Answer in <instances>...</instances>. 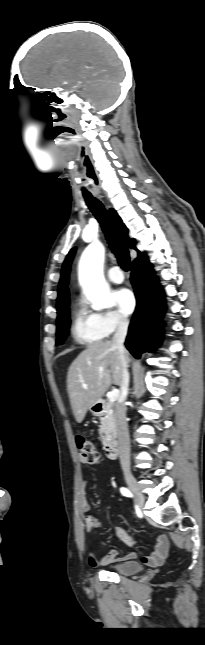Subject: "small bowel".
Masks as SVG:
<instances>
[{"label":"small bowel","instance_id":"1","mask_svg":"<svg viewBox=\"0 0 205 645\" xmlns=\"http://www.w3.org/2000/svg\"><path fill=\"white\" fill-rule=\"evenodd\" d=\"M80 461L81 463H86V461L82 457L80 458ZM82 507L84 511L89 510V503L87 502V500L83 501ZM90 528H92V526H90L87 523V529H90ZM114 532L116 533L118 538L124 543L128 545L135 544V540L124 529L120 527H114ZM168 551H169V541L167 537L163 535H159L155 538L153 551L150 554L143 556L141 558V561L144 564L149 566H159L163 564L167 559ZM136 558H137V554L135 552H131L125 556H119L118 550L113 549L100 560L96 559L95 555L92 552H90L87 556V561L90 566L96 567L98 565H106L117 561L134 560Z\"/></svg>","mask_w":205,"mask_h":645}]
</instances>
